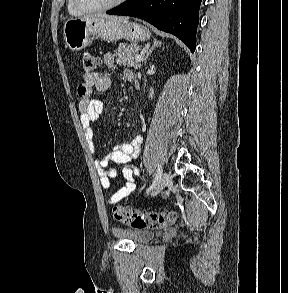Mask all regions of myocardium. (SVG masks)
Here are the masks:
<instances>
[{"label":"myocardium","mask_w":288,"mask_h":293,"mask_svg":"<svg viewBox=\"0 0 288 293\" xmlns=\"http://www.w3.org/2000/svg\"><path fill=\"white\" fill-rule=\"evenodd\" d=\"M126 0H115L109 4L102 5V6H96V7H88L81 3L80 0H72V4L75 7L76 10L82 12V13H93V12H101V11H107L112 8H115L122 3H124Z\"/></svg>","instance_id":"1"}]
</instances>
